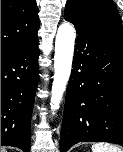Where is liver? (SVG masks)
Masks as SVG:
<instances>
[{
	"mask_svg": "<svg viewBox=\"0 0 123 152\" xmlns=\"http://www.w3.org/2000/svg\"><path fill=\"white\" fill-rule=\"evenodd\" d=\"M1 152H6V149L1 147Z\"/></svg>",
	"mask_w": 123,
	"mask_h": 152,
	"instance_id": "obj_1",
	"label": "liver"
}]
</instances>
